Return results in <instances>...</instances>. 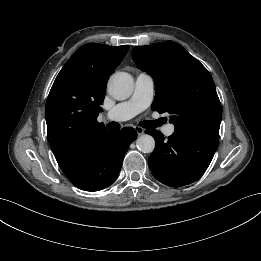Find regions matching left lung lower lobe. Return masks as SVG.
<instances>
[{
    "mask_svg": "<svg viewBox=\"0 0 261 261\" xmlns=\"http://www.w3.org/2000/svg\"><path fill=\"white\" fill-rule=\"evenodd\" d=\"M156 146L148 162L153 176L171 187H180L198 180L208 168L218 140L174 132L165 140L157 130H147Z\"/></svg>",
    "mask_w": 261,
    "mask_h": 261,
    "instance_id": "1",
    "label": "left lung lower lobe"
}]
</instances>
